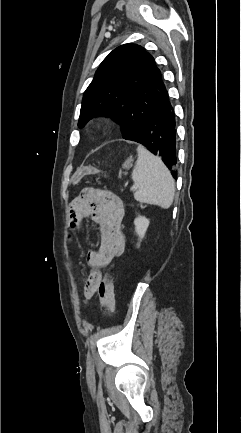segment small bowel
I'll return each mask as SVG.
<instances>
[{
    "label": "small bowel",
    "mask_w": 241,
    "mask_h": 433,
    "mask_svg": "<svg viewBox=\"0 0 241 433\" xmlns=\"http://www.w3.org/2000/svg\"><path fill=\"white\" fill-rule=\"evenodd\" d=\"M124 215L125 209L121 198L107 190L84 188L70 204V229L79 230L83 219L90 216L100 233L99 249L87 253L90 273L84 286L85 303L96 293V290L88 286L90 277L95 273L102 276L101 269L125 251L126 239L122 229Z\"/></svg>",
    "instance_id": "1"
}]
</instances>
